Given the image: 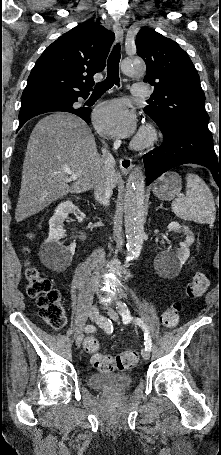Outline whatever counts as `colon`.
Listing matches in <instances>:
<instances>
[{"label": "colon", "instance_id": "5ec220e1", "mask_svg": "<svg viewBox=\"0 0 221 455\" xmlns=\"http://www.w3.org/2000/svg\"><path fill=\"white\" fill-rule=\"evenodd\" d=\"M28 283L27 293L36 298L39 314L42 320L50 327L59 330L66 324V315L58 291L52 288L50 280L43 276L39 269L28 264L25 272ZM208 287V278L205 274H196L188 283L185 295L196 298L203 295ZM182 304L178 301L164 311L161 322L166 328H175L179 322ZM84 350L91 355L92 365L102 372L123 371L135 367L139 361L136 351H124L115 356L103 355L99 352L100 344L94 337H87L84 341Z\"/></svg>", "mask_w": 221, "mask_h": 455}]
</instances>
